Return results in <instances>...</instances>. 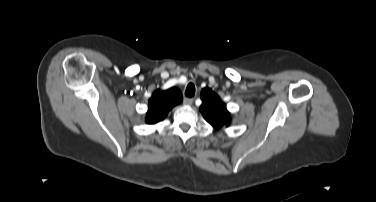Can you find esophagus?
I'll use <instances>...</instances> for the list:
<instances>
[{"label":"esophagus","instance_id":"obj_1","mask_svg":"<svg viewBox=\"0 0 376 202\" xmlns=\"http://www.w3.org/2000/svg\"><path fill=\"white\" fill-rule=\"evenodd\" d=\"M183 103H184L185 105H192V103H193V99H192V98L185 97V98L183 99Z\"/></svg>","mask_w":376,"mask_h":202}]
</instances>
